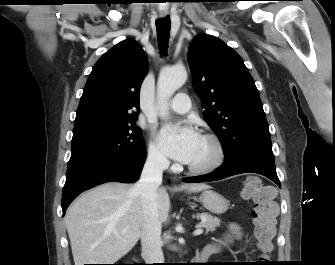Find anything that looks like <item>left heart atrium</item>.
Wrapping results in <instances>:
<instances>
[{
    "label": "left heart atrium",
    "instance_id": "left-heart-atrium-1",
    "mask_svg": "<svg viewBox=\"0 0 335 265\" xmlns=\"http://www.w3.org/2000/svg\"><path fill=\"white\" fill-rule=\"evenodd\" d=\"M200 138L197 130L189 124L182 127L166 125L160 132V142L165 153L186 164L192 160Z\"/></svg>",
    "mask_w": 335,
    "mask_h": 265
}]
</instances>
